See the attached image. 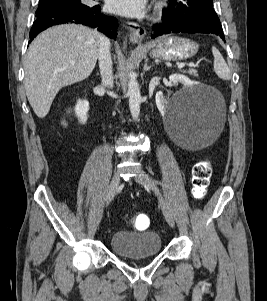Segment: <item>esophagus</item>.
<instances>
[{"label": "esophagus", "mask_w": 267, "mask_h": 301, "mask_svg": "<svg viewBox=\"0 0 267 301\" xmlns=\"http://www.w3.org/2000/svg\"><path fill=\"white\" fill-rule=\"evenodd\" d=\"M127 24L130 29V41L133 44L141 45V43L146 35L145 28L134 22H128Z\"/></svg>", "instance_id": "34e87169"}]
</instances>
